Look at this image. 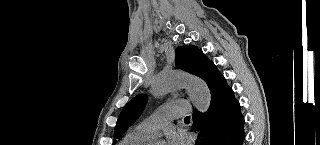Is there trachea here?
<instances>
[{
    "mask_svg": "<svg viewBox=\"0 0 320 145\" xmlns=\"http://www.w3.org/2000/svg\"><path fill=\"white\" fill-rule=\"evenodd\" d=\"M185 119H186V120H187V119H190V116L185 117Z\"/></svg>",
    "mask_w": 320,
    "mask_h": 145,
    "instance_id": "trachea-1",
    "label": "trachea"
}]
</instances>
